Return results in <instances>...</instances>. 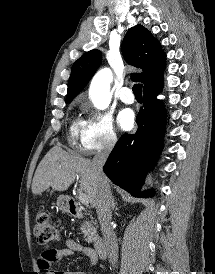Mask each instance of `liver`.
Wrapping results in <instances>:
<instances>
[{"label": "liver", "instance_id": "liver-1", "mask_svg": "<svg viewBox=\"0 0 215 274\" xmlns=\"http://www.w3.org/2000/svg\"><path fill=\"white\" fill-rule=\"evenodd\" d=\"M80 176V191L88 197L92 207L96 205L97 180L92 162L84 157L70 154L59 146H54L38 165L33 182L32 193L41 194L50 186L53 191H66Z\"/></svg>", "mask_w": 215, "mask_h": 274}]
</instances>
